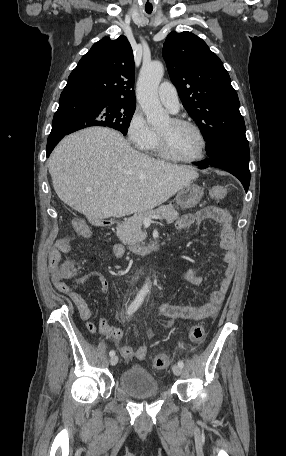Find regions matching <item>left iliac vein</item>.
Segmentation results:
<instances>
[{"label": "left iliac vein", "mask_w": 286, "mask_h": 456, "mask_svg": "<svg viewBox=\"0 0 286 456\" xmlns=\"http://www.w3.org/2000/svg\"><path fill=\"white\" fill-rule=\"evenodd\" d=\"M172 371L176 376H180L182 373V368L179 365H173Z\"/></svg>", "instance_id": "left-iliac-vein-1"}]
</instances>
